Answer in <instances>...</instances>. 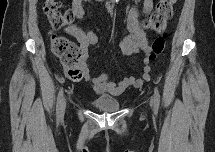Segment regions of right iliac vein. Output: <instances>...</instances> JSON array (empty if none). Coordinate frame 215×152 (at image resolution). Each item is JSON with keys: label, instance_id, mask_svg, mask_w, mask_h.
<instances>
[{"label": "right iliac vein", "instance_id": "1", "mask_svg": "<svg viewBox=\"0 0 215 152\" xmlns=\"http://www.w3.org/2000/svg\"><path fill=\"white\" fill-rule=\"evenodd\" d=\"M66 108V99L62 102L61 117H63Z\"/></svg>", "mask_w": 215, "mask_h": 152}]
</instances>
